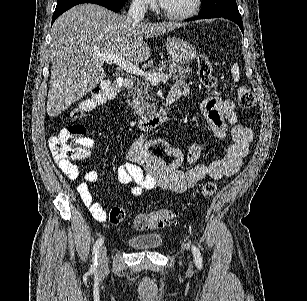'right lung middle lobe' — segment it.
<instances>
[{
	"label": "right lung middle lobe",
	"mask_w": 307,
	"mask_h": 301,
	"mask_svg": "<svg viewBox=\"0 0 307 301\" xmlns=\"http://www.w3.org/2000/svg\"><path fill=\"white\" fill-rule=\"evenodd\" d=\"M62 1H64V0H58V2H62Z\"/></svg>",
	"instance_id": "right-lung-middle-lobe-1"
}]
</instances>
